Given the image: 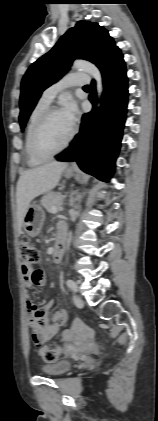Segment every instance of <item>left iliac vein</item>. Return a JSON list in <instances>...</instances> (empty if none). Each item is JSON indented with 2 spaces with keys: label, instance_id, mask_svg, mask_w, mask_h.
Listing matches in <instances>:
<instances>
[{
  "label": "left iliac vein",
  "instance_id": "1",
  "mask_svg": "<svg viewBox=\"0 0 158 421\" xmlns=\"http://www.w3.org/2000/svg\"><path fill=\"white\" fill-rule=\"evenodd\" d=\"M73 301H74V303L77 307H83V305H84L83 300L77 295L73 296Z\"/></svg>",
  "mask_w": 158,
  "mask_h": 421
}]
</instances>
